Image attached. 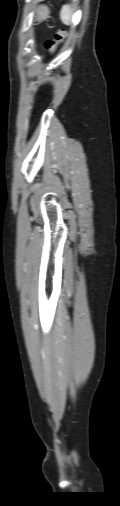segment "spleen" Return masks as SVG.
Instances as JSON below:
<instances>
[{"label": "spleen", "instance_id": "3e777b00", "mask_svg": "<svg viewBox=\"0 0 120 506\" xmlns=\"http://www.w3.org/2000/svg\"><path fill=\"white\" fill-rule=\"evenodd\" d=\"M71 15H72V10H71L70 6L69 5L63 6L61 13H60V18L65 25L70 24Z\"/></svg>", "mask_w": 120, "mask_h": 506}]
</instances>
